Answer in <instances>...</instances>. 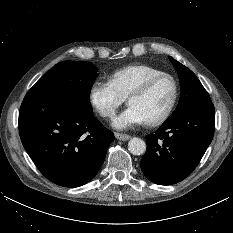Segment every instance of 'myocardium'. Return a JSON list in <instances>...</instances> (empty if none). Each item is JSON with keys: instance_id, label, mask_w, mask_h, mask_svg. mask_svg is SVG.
I'll list each match as a JSON object with an SVG mask.
<instances>
[{"instance_id": "myocardium-1", "label": "myocardium", "mask_w": 233, "mask_h": 233, "mask_svg": "<svg viewBox=\"0 0 233 233\" xmlns=\"http://www.w3.org/2000/svg\"><path fill=\"white\" fill-rule=\"evenodd\" d=\"M165 78L172 82L173 96L168 107L159 117L146 121V123L150 126H157L164 123L172 114L179 97V85L176 78L165 72L150 76L136 86L127 96V101L129 103L133 97L145 94L157 81Z\"/></svg>"}]
</instances>
